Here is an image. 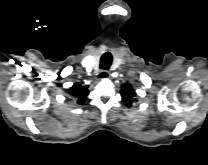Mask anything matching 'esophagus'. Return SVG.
Returning a JSON list of instances; mask_svg holds the SVG:
<instances>
[{
    "label": "esophagus",
    "instance_id": "34e87169",
    "mask_svg": "<svg viewBox=\"0 0 208 165\" xmlns=\"http://www.w3.org/2000/svg\"><path fill=\"white\" fill-rule=\"evenodd\" d=\"M99 77L101 79H108L110 77V72L107 70H103L100 72Z\"/></svg>",
    "mask_w": 208,
    "mask_h": 165
}]
</instances>
